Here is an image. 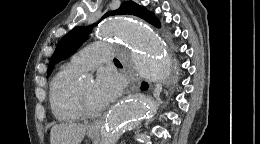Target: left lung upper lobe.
I'll list each match as a JSON object with an SVG mask.
<instances>
[{
    "mask_svg": "<svg viewBox=\"0 0 260 144\" xmlns=\"http://www.w3.org/2000/svg\"><path fill=\"white\" fill-rule=\"evenodd\" d=\"M126 14L138 16L158 27L160 25L152 12L133 1L123 2L117 10L106 13L103 18L111 15ZM91 28L92 27H75L59 41L52 57L50 58L47 76L51 74L52 69L57 62L70 57L78 49V47L85 41L87 33L90 32Z\"/></svg>",
    "mask_w": 260,
    "mask_h": 144,
    "instance_id": "obj_1",
    "label": "left lung upper lobe"
}]
</instances>
